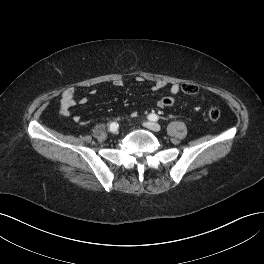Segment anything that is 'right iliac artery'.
I'll list each match as a JSON object with an SVG mask.
<instances>
[{"label": "right iliac artery", "mask_w": 264, "mask_h": 264, "mask_svg": "<svg viewBox=\"0 0 264 264\" xmlns=\"http://www.w3.org/2000/svg\"><path fill=\"white\" fill-rule=\"evenodd\" d=\"M118 128V123L116 122H112L110 125H109V129L110 130H114V129H117Z\"/></svg>", "instance_id": "obj_1"}]
</instances>
